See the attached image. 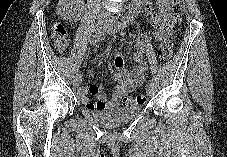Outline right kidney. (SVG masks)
<instances>
[{"label": "right kidney", "instance_id": "obj_1", "mask_svg": "<svg viewBox=\"0 0 227 157\" xmlns=\"http://www.w3.org/2000/svg\"><path fill=\"white\" fill-rule=\"evenodd\" d=\"M70 2L73 4L75 1L60 0L58 4V13L65 20L76 21L79 15H77V13L75 12L76 9L73 8Z\"/></svg>", "mask_w": 227, "mask_h": 157}]
</instances>
